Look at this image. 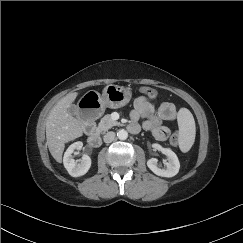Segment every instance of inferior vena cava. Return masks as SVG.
<instances>
[{"label":"inferior vena cava","instance_id":"obj_1","mask_svg":"<svg viewBox=\"0 0 243 243\" xmlns=\"http://www.w3.org/2000/svg\"><path fill=\"white\" fill-rule=\"evenodd\" d=\"M114 139H115V133L112 131L107 132L103 137L105 143H111Z\"/></svg>","mask_w":243,"mask_h":243}]
</instances>
